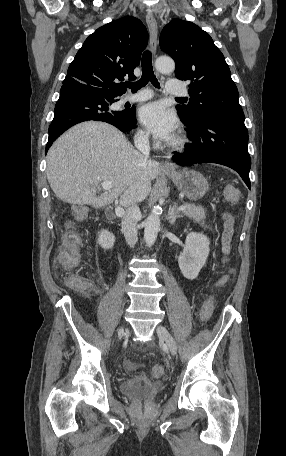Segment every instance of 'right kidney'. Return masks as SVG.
Wrapping results in <instances>:
<instances>
[{"label":"right kidney","mask_w":286,"mask_h":456,"mask_svg":"<svg viewBox=\"0 0 286 456\" xmlns=\"http://www.w3.org/2000/svg\"><path fill=\"white\" fill-rule=\"evenodd\" d=\"M97 242L103 249H111L115 243V236L108 230L103 229L98 233Z\"/></svg>","instance_id":"ca27d5eb"}]
</instances>
